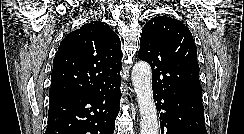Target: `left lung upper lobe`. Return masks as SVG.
I'll return each instance as SVG.
<instances>
[{
	"instance_id": "left-lung-upper-lobe-1",
	"label": "left lung upper lobe",
	"mask_w": 244,
	"mask_h": 134,
	"mask_svg": "<svg viewBox=\"0 0 244 134\" xmlns=\"http://www.w3.org/2000/svg\"><path fill=\"white\" fill-rule=\"evenodd\" d=\"M138 57L152 68V87L166 93L202 98L197 48L179 20L158 16L142 29Z\"/></svg>"
}]
</instances>
